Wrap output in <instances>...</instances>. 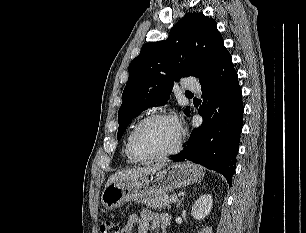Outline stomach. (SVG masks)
I'll return each instance as SVG.
<instances>
[{"label": "stomach", "instance_id": "0dacf381", "mask_svg": "<svg viewBox=\"0 0 306 233\" xmlns=\"http://www.w3.org/2000/svg\"><path fill=\"white\" fill-rule=\"evenodd\" d=\"M204 177V169L190 162L176 163L167 168L135 178L113 182L105 187L101 202L112 210L129 201L163 195L168 191L191 185Z\"/></svg>", "mask_w": 306, "mask_h": 233}]
</instances>
